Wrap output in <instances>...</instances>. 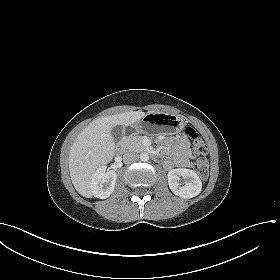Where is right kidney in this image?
Wrapping results in <instances>:
<instances>
[{
  "label": "right kidney",
  "instance_id": "ca27d5eb",
  "mask_svg": "<svg viewBox=\"0 0 280 280\" xmlns=\"http://www.w3.org/2000/svg\"><path fill=\"white\" fill-rule=\"evenodd\" d=\"M117 174L114 170L106 172V167H99L91 178V191L93 196L106 199L114 191Z\"/></svg>",
  "mask_w": 280,
  "mask_h": 280
}]
</instances>
